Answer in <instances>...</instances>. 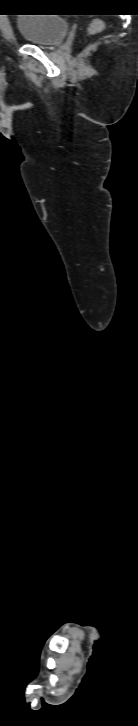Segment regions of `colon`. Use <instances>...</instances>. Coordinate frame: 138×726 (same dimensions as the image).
Segmentation results:
<instances>
[{"label":"colon","mask_w":138,"mask_h":726,"mask_svg":"<svg viewBox=\"0 0 138 726\" xmlns=\"http://www.w3.org/2000/svg\"><path fill=\"white\" fill-rule=\"evenodd\" d=\"M103 28H104L103 21L100 19H94L88 27V34L94 35V34L100 33L103 30Z\"/></svg>","instance_id":"5ec220e1"}]
</instances>
